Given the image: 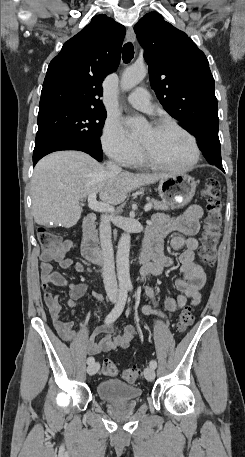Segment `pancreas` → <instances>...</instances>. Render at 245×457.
Listing matches in <instances>:
<instances>
[{"label": "pancreas", "mask_w": 245, "mask_h": 457, "mask_svg": "<svg viewBox=\"0 0 245 457\" xmlns=\"http://www.w3.org/2000/svg\"><path fill=\"white\" fill-rule=\"evenodd\" d=\"M149 202H152L155 210H170V208H175L174 204L161 202V200H156V198H149Z\"/></svg>", "instance_id": "obj_1"}]
</instances>
